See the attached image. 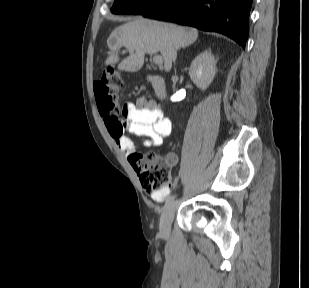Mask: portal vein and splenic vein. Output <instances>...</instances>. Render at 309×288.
Returning <instances> with one entry per match:
<instances>
[{
    "mask_svg": "<svg viewBox=\"0 0 309 288\" xmlns=\"http://www.w3.org/2000/svg\"><path fill=\"white\" fill-rule=\"evenodd\" d=\"M153 62L154 64L161 66L163 64L162 56H159V55L153 56Z\"/></svg>",
    "mask_w": 309,
    "mask_h": 288,
    "instance_id": "portal-vein-and-splenic-vein-1",
    "label": "portal vein and splenic vein"
}]
</instances>
